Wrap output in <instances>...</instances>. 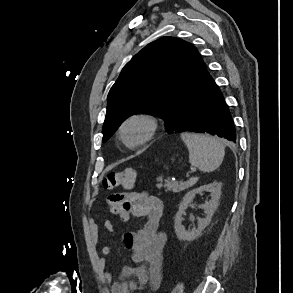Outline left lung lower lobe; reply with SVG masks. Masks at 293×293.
<instances>
[{"label":"left lung lower lobe","instance_id":"0a47b994","mask_svg":"<svg viewBox=\"0 0 293 293\" xmlns=\"http://www.w3.org/2000/svg\"><path fill=\"white\" fill-rule=\"evenodd\" d=\"M202 132L236 142V132L228 106L213 80L185 107L173 132Z\"/></svg>","mask_w":293,"mask_h":293}]
</instances>
